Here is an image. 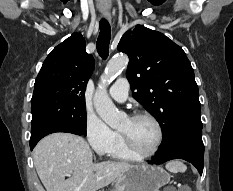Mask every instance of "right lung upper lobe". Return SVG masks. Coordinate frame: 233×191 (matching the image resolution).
<instances>
[{"label": "right lung upper lobe", "mask_w": 233, "mask_h": 191, "mask_svg": "<svg viewBox=\"0 0 233 191\" xmlns=\"http://www.w3.org/2000/svg\"><path fill=\"white\" fill-rule=\"evenodd\" d=\"M94 65L92 55L85 50L83 36L73 33L45 59L34 84L32 100L57 97L85 103L84 93Z\"/></svg>", "instance_id": "1"}]
</instances>
